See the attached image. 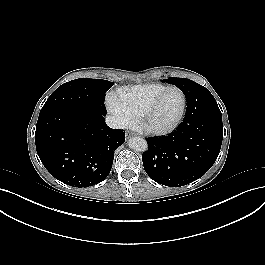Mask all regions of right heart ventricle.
Returning <instances> with one entry per match:
<instances>
[{
  "label": "right heart ventricle",
  "mask_w": 265,
  "mask_h": 265,
  "mask_svg": "<svg viewBox=\"0 0 265 265\" xmlns=\"http://www.w3.org/2000/svg\"><path fill=\"white\" fill-rule=\"evenodd\" d=\"M165 87L167 86L163 84L150 83L130 88H120L117 91V96L121 105L131 116L132 121H140L150 102Z\"/></svg>",
  "instance_id": "obj_1"
}]
</instances>
